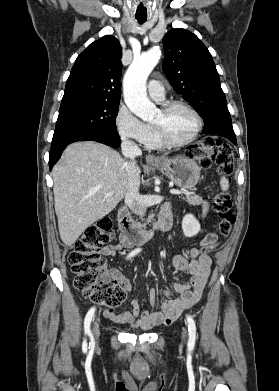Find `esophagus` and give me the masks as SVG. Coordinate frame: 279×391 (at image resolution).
<instances>
[{"instance_id":"1","label":"esophagus","mask_w":279,"mask_h":391,"mask_svg":"<svg viewBox=\"0 0 279 391\" xmlns=\"http://www.w3.org/2000/svg\"><path fill=\"white\" fill-rule=\"evenodd\" d=\"M145 160L148 163L159 161V159L157 157H155L154 155H151V154L146 155Z\"/></svg>"}]
</instances>
